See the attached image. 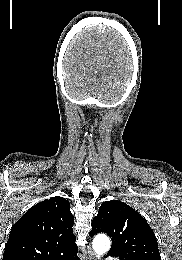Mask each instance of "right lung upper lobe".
Returning <instances> with one entry per match:
<instances>
[{"label":"right lung upper lobe","instance_id":"obj_1","mask_svg":"<svg viewBox=\"0 0 182 260\" xmlns=\"http://www.w3.org/2000/svg\"><path fill=\"white\" fill-rule=\"evenodd\" d=\"M70 203L55 196L37 203L12 227L3 260H53L78 250Z\"/></svg>","mask_w":182,"mask_h":260}]
</instances>
